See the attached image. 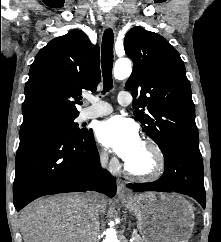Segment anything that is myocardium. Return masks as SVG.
<instances>
[{"label": "myocardium", "instance_id": "obj_1", "mask_svg": "<svg viewBox=\"0 0 221 242\" xmlns=\"http://www.w3.org/2000/svg\"><path fill=\"white\" fill-rule=\"evenodd\" d=\"M142 145L151 154L152 164L147 171H136L128 163L125 164L126 173L138 181H153L158 179L165 170V157L161 148L152 140H144Z\"/></svg>", "mask_w": 221, "mask_h": 242}]
</instances>
